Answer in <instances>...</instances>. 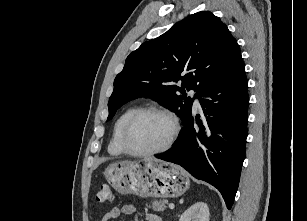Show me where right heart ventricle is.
Wrapping results in <instances>:
<instances>
[{
    "label": "right heart ventricle",
    "mask_w": 307,
    "mask_h": 221,
    "mask_svg": "<svg viewBox=\"0 0 307 221\" xmlns=\"http://www.w3.org/2000/svg\"><path fill=\"white\" fill-rule=\"evenodd\" d=\"M139 109H141L140 106H131L125 109L116 119L112 131L111 140L108 145V151L111 155L117 156L125 153L120 143L121 133L128 119Z\"/></svg>",
    "instance_id": "e07e8e85"
}]
</instances>
